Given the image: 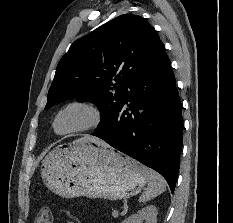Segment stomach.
Instances as JSON below:
<instances>
[{
  "label": "stomach",
  "instance_id": "obj_1",
  "mask_svg": "<svg viewBox=\"0 0 233 223\" xmlns=\"http://www.w3.org/2000/svg\"><path fill=\"white\" fill-rule=\"evenodd\" d=\"M41 177L61 197L127 199L145 187L147 167L107 145L79 141L49 151L42 161Z\"/></svg>",
  "mask_w": 233,
  "mask_h": 223
}]
</instances>
